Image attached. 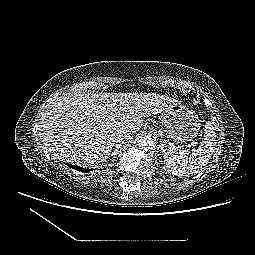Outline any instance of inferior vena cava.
Returning <instances> with one entry per match:
<instances>
[{"label":"inferior vena cava","instance_id":"602c4592","mask_svg":"<svg viewBox=\"0 0 255 255\" xmlns=\"http://www.w3.org/2000/svg\"><path fill=\"white\" fill-rule=\"evenodd\" d=\"M130 139H131V134L125 131L118 132L115 136V142L120 144L126 143Z\"/></svg>","mask_w":255,"mask_h":255}]
</instances>
